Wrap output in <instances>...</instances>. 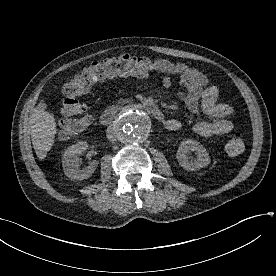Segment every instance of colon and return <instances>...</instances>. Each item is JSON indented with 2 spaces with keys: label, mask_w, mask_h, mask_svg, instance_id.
<instances>
[{
  "label": "colon",
  "mask_w": 276,
  "mask_h": 276,
  "mask_svg": "<svg viewBox=\"0 0 276 276\" xmlns=\"http://www.w3.org/2000/svg\"><path fill=\"white\" fill-rule=\"evenodd\" d=\"M154 71L153 61L130 54L106 58L92 63L88 68L70 81L63 89V120L58 128V135L67 138L86 129L91 117L87 114L86 105L78 100L87 94L92 86L114 76L147 77ZM245 149V142L240 133H234L226 143L225 150L230 156H237Z\"/></svg>",
  "instance_id": "colon-1"
}]
</instances>
